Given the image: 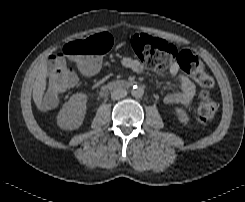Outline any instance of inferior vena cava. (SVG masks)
I'll list each match as a JSON object with an SVG mask.
<instances>
[{"instance_id":"1","label":"inferior vena cava","mask_w":245,"mask_h":202,"mask_svg":"<svg viewBox=\"0 0 245 202\" xmlns=\"http://www.w3.org/2000/svg\"><path fill=\"white\" fill-rule=\"evenodd\" d=\"M126 95H127V91L123 88H116L111 92V98L113 100L124 98Z\"/></svg>"}]
</instances>
